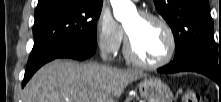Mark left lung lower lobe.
Here are the masks:
<instances>
[{
    "instance_id": "0a47b994",
    "label": "left lung lower lobe",
    "mask_w": 221,
    "mask_h": 102,
    "mask_svg": "<svg viewBox=\"0 0 221 102\" xmlns=\"http://www.w3.org/2000/svg\"><path fill=\"white\" fill-rule=\"evenodd\" d=\"M160 73H175L181 71H194L214 80L221 85V67H218L211 59L197 54L190 53L183 55L157 70Z\"/></svg>"
}]
</instances>
